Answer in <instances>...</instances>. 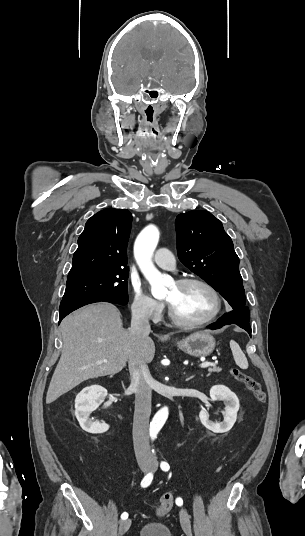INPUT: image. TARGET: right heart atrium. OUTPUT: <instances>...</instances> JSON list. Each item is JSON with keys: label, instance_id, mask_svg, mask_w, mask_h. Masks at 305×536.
I'll list each match as a JSON object with an SVG mask.
<instances>
[{"label": "right heart atrium", "instance_id": "right-heart-atrium-1", "mask_svg": "<svg viewBox=\"0 0 305 536\" xmlns=\"http://www.w3.org/2000/svg\"><path fill=\"white\" fill-rule=\"evenodd\" d=\"M131 312L141 319H154L160 316L162 305L144 292L139 283L131 286Z\"/></svg>", "mask_w": 305, "mask_h": 536}]
</instances>
